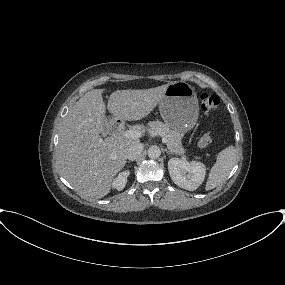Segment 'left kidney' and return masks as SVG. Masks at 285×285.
<instances>
[{
  "mask_svg": "<svg viewBox=\"0 0 285 285\" xmlns=\"http://www.w3.org/2000/svg\"><path fill=\"white\" fill-rule=\"evenodd\" d=\"M168 170L172 181L179 187L194 191L204 181L206 166L197 161H187L181 158H171L168 161Z\"/></svg>",
  "mask_w": 285,
  "mask_h": 285,
  "instance_id": "5707ae66",
  "label": "left kidney"
}]
</instances>
